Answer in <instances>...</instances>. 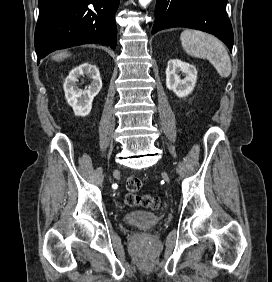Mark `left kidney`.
Here are the masks:
<instances>
[{"instance_id": "left-kidney-1", "label": "left kidney", "mask_w": 272, "mask_h": 282, "mask_svg": "<svg viewBox=\"0 0 272 282\" xmlns=\"http://www.w3.org/2000/svg\"><path fill=\"white\" fill-rule=\"evenodd\" d=\"M179 73H183L181 79ZM197 81V70L193 65L180 59H171L166 67V87L172 90L178 97L188 96L194 89Z\"/></svg>"}]
</instances>
